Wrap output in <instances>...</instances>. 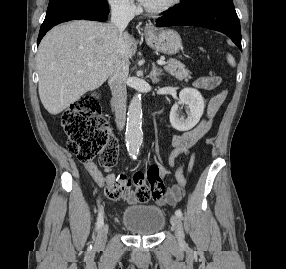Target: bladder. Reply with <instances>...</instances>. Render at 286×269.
I'll list each match as a JSON object with an SVG mask.
<instances>
[{"mask_svg":"<svg viewBox=\"0 0 286 269\" xmlns=\"http://www.w3.org/2000/svg\"><path fill=\"white\" fill-rule=\"evenodd\" d=\"M165 223L164 212L155 205H131L121 214V225L138 235H156L164 229Z\"/></svg>","mask_w":286,"mask_h":269,"instance_id":"31cf9c89","label":"bladder"}]
</instances>
